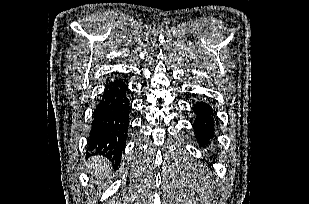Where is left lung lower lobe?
Masks as SVG:
<instances>
[{
    "label": "left lung lower lobe",
    "mask_w": 309,
    "mask_h": 204,
    "mask_svg": "<svg viewBox=\"0 0 309 204\" xmlns=\"http://www.w3.org/2000/svg\"><path fill=\"white\" fill-rule=\"evenodd\" d=\"M192 108L195 113L193 126L199 146L203 148L209 147L210 141L215 135V115L213 109L206 102L200 100L193 103Z\"/></svg>",
    "instance_id": "obj_1"
}]
</instances>
